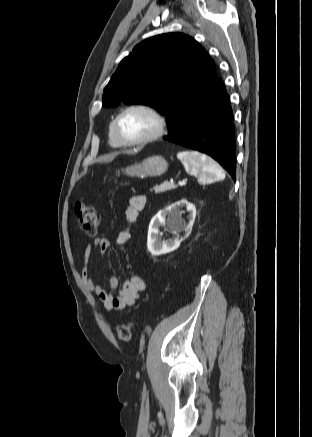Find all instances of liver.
Returning <instances> with one entry per match:
<instances>
[{
    "instance_id": "6515ba94",
    "label": "liver",
    "mask_w": 312,
    "mask_h": 437,
    "mask_svg": "<svg viewBox=\"0 0 312 437\" xmlns=\"http://www.w3.org/2000/svg\"><path fill=\"white\" fill-rule=\"evenodd\" d=\"M117 156V154H114L112 156H109L106 160H104V162H111L114 160V158Z\"/></svg>"
}]
</instances>
